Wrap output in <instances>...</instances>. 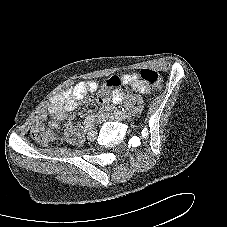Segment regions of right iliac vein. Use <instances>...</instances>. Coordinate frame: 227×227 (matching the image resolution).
Listing matches in <instances>:
<instances>
[{"instance_id": "63e3f726", "label": "right iliac vein", "mask_w": 227, "mask_h": 227, "mask_svg": "<svg viewBox=\"0 0 227 227\" xmlns=\"http://www.w3.org/2000/svg\"><path fill=\"white\" fill-rule=\"evenodd\" d=\"M96 136H97V131L94 129V128H90L88 130V133H87V139L89 141H94L96 139Z\"/></svg>"}]
</instances>
